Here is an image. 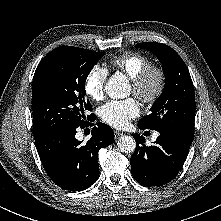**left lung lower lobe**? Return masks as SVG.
Returning a JSON list of instances; mask_svg holds the SVG:
<instances>
[{"mask_svg":"<svg viewBox=\"0 0 221 221\" xmlns=\"http://www.w3.org/2000/svg\"><path fill=\"white\" fill-rule=\"evenodd\" d=\"M157 131L160 135L151 146L144 144L142 136L133 134L137 146L130 159L131 173L137 182L147 187H159L175 178L194 139V134L178 128Z\"/></svg>","mask_w":221,"mask_h":221,"instance_id":"1","label":"left lung lower lobe"}]
</instances>
